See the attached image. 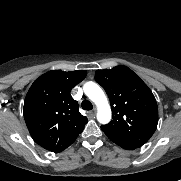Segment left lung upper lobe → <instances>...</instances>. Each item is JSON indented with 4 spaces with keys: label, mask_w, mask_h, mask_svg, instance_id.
<instances>
[{
    "label": "left lung upper lobe",
    "mask_w": 181,
    "mask_h": 181,
    "mask_svg": "<svg viewBox=\"0 0 181 181\" xmlns=\"http://www.w3.org/2000/svg\"><path fill=\"white\" fill-rule=\"evenodd\" d=\"M95 80L105 89L113 113L102 131L122 148L144 145L158 124L157 102L149 87L126 66L97 70Z\"/></svg>",
    "instance_id": "5c2ea615"
}]
</instances>
